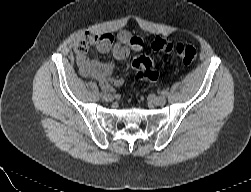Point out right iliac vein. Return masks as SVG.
Returning a JSON list of instances; mask_svg holds the SVG:
<instances>
[{
  "label": "right iliac vein",
  "mask_w": 251,
  "mask_h": 192,
  "mask_svg": "<svg viewBox=\"0 0 251 192\" xmlns=\"http://www.w3.org/2000/svg\"><path fill=\"white\" fill-rule=\"evenodd\" d=\"M104 99L106 100V101H112L114 98H113V96L111 95V94H106L105 95V97H104Z\"/></svg>",
  "instance_id": "right-iliac-vein-1"
}]
</instances>
